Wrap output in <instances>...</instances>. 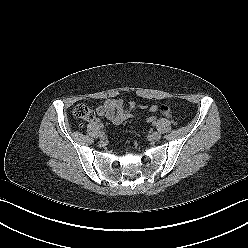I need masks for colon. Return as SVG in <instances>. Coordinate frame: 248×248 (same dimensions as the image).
<instances>
[{
    "mask_svg": "<svg viewBox=\"0 0 248 248\" xmlns=\"http://www.w3.org/2000/svg\"><path fill=\"white\" fill-rule=\"evenodd\" d=\"M73 114L76 118L84 120V121H90L94 117L93 111L86 105L84 104H78L75 106L73 110ZM156 120V117L151 115L148 116L146 121L149 124H153Z\"/></svg>",
    "mask_w": 248,
    "mask_h": 248,
    "instance_id": "obj_1",
    "label": "colon"
}]
</instances>
